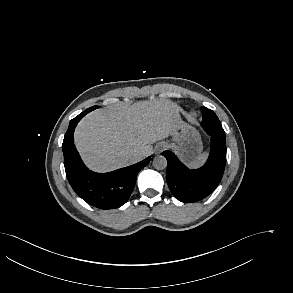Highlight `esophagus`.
<instances>
[{
	"mask_svg": "<svg viewBox=\"0 0 293 293\" xmlns=\"http://www.w3.org/2000/svg\"><path fill=\"white\" fill-rule=\"evenodd\" d=\"M166 147H167V146H166L165 144H161V145H159V146L157 147V149H156L157 153L162 152L163 150L166 149Z\"/></svg>",
	"mask_w": 293,
	"mask_h": 293,
	"instance_id": "obj_1",
	"label": "esophagus"
}]
</instances>
